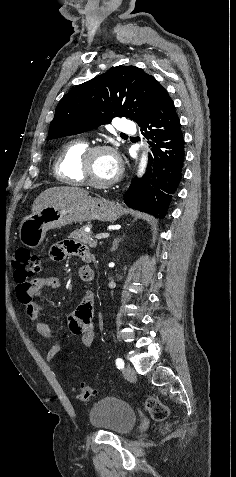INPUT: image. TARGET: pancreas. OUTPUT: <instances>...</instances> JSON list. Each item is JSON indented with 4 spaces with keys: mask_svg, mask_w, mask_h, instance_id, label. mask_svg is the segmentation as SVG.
<instances>
[{
    "mask_svg": "<svg viewBox=\"0 0 236 477\" xmlns=\"http://www.w3.org/2000/svg\"><path fill=\"white\" fill-rule=\"evenodd\" d=\"M69 238H71L76 243L87 244L91 248H95L97 246V241L93 239L91 232L85 231V226H83L82 228L78 230L73 231L70 234Z\"/></svg>",
    "mask_w": 236,
    "mask_h": 477,
    "instance_id": "obj_1",
    "label": "pancreas"
}]
</instances>
